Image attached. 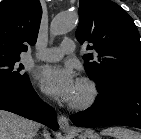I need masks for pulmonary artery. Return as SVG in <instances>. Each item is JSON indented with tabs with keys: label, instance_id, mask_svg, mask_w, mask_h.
<instances>
[{
	"label": "pulmonary artery",
	"instance_id": "e3ab8cb5",
	"mask_svg": "<svg viewBox=\"0 0 141 139\" xmlns=\"http://www.w3.org/2000/svg\"><path fill=\"white\" fill-rule=\"evenodd\" d=\"M75 50V43L70 40H64L59 47L45 48L38 51L35 56L43 61H58L65 54H70Z\"/></svg>",
	"mask_w": 141,
	"mask_h": 139
}]
</instances>
